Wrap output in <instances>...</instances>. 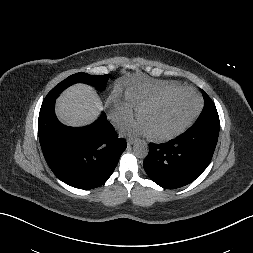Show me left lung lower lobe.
<instances>
[{"mask_svg": "<svg viewBox=\"0 0 253 253\" xmlns=\"http://www.w3.org/2000/svg\"><path fill=\"white\" fill-rule=\"evenodd\" d=\"M219 129V121L198 120L174 140L149 144L144 170L155 183L167 189L193 182L211 161Z\"/></svg>", "mask_w": 253, "mask_h": 253, "instance_id": "1", "label": "left lung lower lobe"}]
</instances>
